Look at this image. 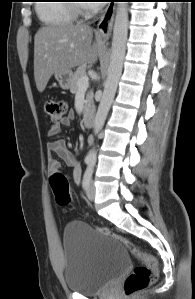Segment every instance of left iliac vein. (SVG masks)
Returning <instances> with one entry per match:
<instances>
[{
	"label": "left iliac vein",
	"mask_w": 195,
	"mask_h": 299,
	"mask_svg": "<svg viewBox=\"0 0 195 299\" xmlns=\"http://www.w3.org/2000/svg\"><path fill=\"white\" fill-rule=\"evenodd\" d=\"M95 194H96V187H95L93 181H90L87 191H86V195L89 200L93 201L95 199Z\"/></svg>",
	"instance_id": "1"
}]
</instances>
